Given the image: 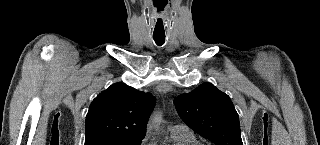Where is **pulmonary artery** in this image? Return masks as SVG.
<instances>
[{
    "instance_id": "obj_1",
    "label": "pulmonary artery",
    "mask_w": 320,
    "mask_h": 145,
    "mask_svg": "<svg viewBox=\"0 0 320 145\" xmlns=\"http://www.w3.org/2000/svg\"><path fill=\"white\" fill-rule=\"evenodd\" d=\"M170 132H190V129L187 125L184 124H175L169 127Z\"/></svg>"
}]
</instances>
